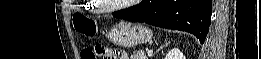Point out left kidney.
Returning <instances> with one entry per match:
<instances>
[{
    "label": "left kidney",
    "instance_id": "1",
    "mask_svg": "<svg viewBox=\"0 0 261 59\" xmlns=\"http://www.w3.org/2000/svg\"><path fill=\"white\" fill-rule=\"evenodd\" d=\"M165 59H185V56L178 48H173L166 54Z\"/></svg>",
    "mask_w": 261,
    "mask_h": 59
}]
</instances>
